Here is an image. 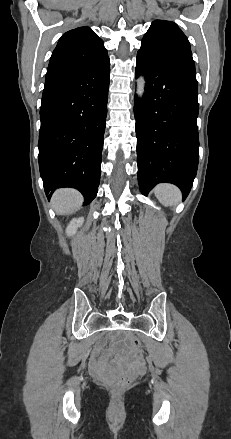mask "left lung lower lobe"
<instances>
[{
    "instance_id": "left-lung-lower-lobe-1",
    "label": "left lung lower lobe",
    "mask_w": 231,
    "mask_h": 439,
    "mask_svg": "<svg viewBox=\"0 0 231 439\" xmlns=\"http://www.w3.org/2000/svg\"><path fill=\"white\" fill-rule=\"evenodd\" d=\"M146 75L134 103L138 182L144 195L158 183L177 185L185 198L198 168V84L195 68L137 53L136 77Z\"/></svg>"
}]
</instances>
